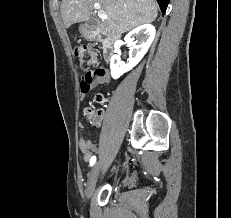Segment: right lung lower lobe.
I'll use <instances>...</instances> for the list:
<instances>
[{
	"label": "right lung lower lobe",
	"mask_w": 231,
	"mask_h": 218,
	"mask_svg": "<svg viewBox=\"0 0 231 218\" xmlns=\"http://www.w3.org/2000/svg\"><path fill=\"white\" fill-rule=\"evenodd\" d=\"M169 1L170 0H157L163 15H164V13H165V11L167 9Z\"/></svg>",
	"instance_id": "1"
}]
</instances>
